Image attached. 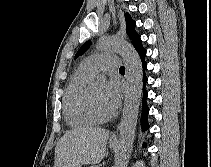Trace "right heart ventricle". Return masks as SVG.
Segmentation results:
<instances>
[{"label":"right heart ventricle","mask_w":211,"mask_h":167,"mask_svg":"<svg viewBox=\"0 0 211 167\" xmlns=\"http://www.w3.org/2000/svg\"><path fill=\"white\" fill-rule=\"evenodd\" d=\"M92 76L93 73L80 66L67 86L63 110L66 121L72 127L84 128L93 126L96 123L88 113L85 104L87 83Z\"/></svg>","instance_id":"right-heart-ventricle-1"}]
</instances>
